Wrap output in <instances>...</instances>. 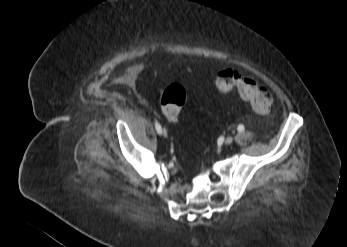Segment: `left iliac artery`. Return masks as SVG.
I'll use <instances>...</instances> for the list:
<instances>
[{"label": "left iliac artery", "instance_id": "obj_1", "mask_svg": "<svg viewBox=\"0 0 347 247\" xmlns=\"http://www.w3.org/2000/svg\"><path fill=\"white\" fill-rule=\"evenodd\" d=\"M237 130L239 132H243L245 130L244 126L242 124L238 125Z\"/></svg>", "mask_w": 347, "mask_h": 247}]
</instances>
